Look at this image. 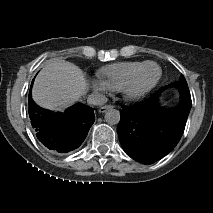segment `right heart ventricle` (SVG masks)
Instances as JSON below:
<instances>
[{"label": "right heart ventricle", "mask_w": 213, "mask_h": 213, "mask_svg": "<svg viewBox=\"0 0 213 213\" xmlns=\"http://www.w3.org/2000/svg\"><path fill=\"white\" fill-rule=\"evenodd\" d=\"M143 63L141 61L117 62L101 68L99 75L108 84L110 89L119 91L123 83Z\"/></svg>", "instance_id": "obj_1"}]
</instances>
